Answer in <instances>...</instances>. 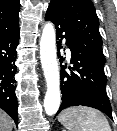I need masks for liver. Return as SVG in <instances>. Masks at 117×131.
Listing matches in <instances>:
<instances>
[{"label": "liver", "mask_w": 117, "mask_h": 131, "mask_svg": "<svg viewBox=\"0 0 117 131\" xmlns=\"http://www.w3.org/2000/svg\"><path fill=\"white\" fill-rule=\"evenodd\" d=\"M13 122L11 118L0 109V131H12Z\"/></svg>", "instance_id": "liver-1"}]
</instances>
